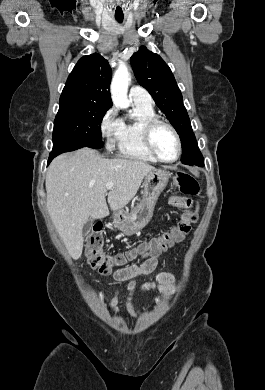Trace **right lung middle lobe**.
<instances>
[{
  "label": "right lung middle lobe",
  "mask_w": 265,
  "mask_h": 390,
  "mask_svg": "<svg viewBox=\"0 0 265 390\" xmlns=\"http://www.w3.org/2000/svg\"><path fill=\"white\" fill-rule=\"evenodd\" d=\"M108 109L92 103H60L54 121L53 147L101 148V122ZM67 151L70 150L64 152Z\"/></svg>",
  "instance_id": "right-lung-middle-lobe-1"
}]
</instances>
